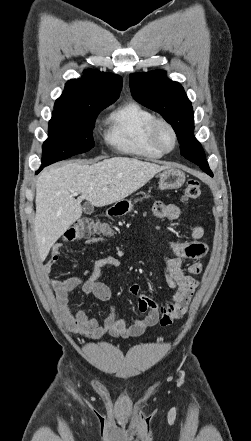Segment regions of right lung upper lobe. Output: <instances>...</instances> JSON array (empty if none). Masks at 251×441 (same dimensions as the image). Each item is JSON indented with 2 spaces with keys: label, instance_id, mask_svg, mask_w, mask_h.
Masks as SVG:
<instances>
[{
  "label": "right lung upper lobe",
  "instance_id": "right-lung-upper-lobe-1",
  "mask_svg": "<svg viewBox=\"0 0 251 441\" xmlns=\"http://www.w3.org/2000/svg\"><path fill=\"white\" fill-rule=\"evenodd\" d=\"M122 89L117 75L85 70L83 78L69 80L63 94L56 100L55 109H72L88 99L116 100Z\"/></svg>",
  "mask_w": 251,
  "mask_h": 441
}]
</instances>
